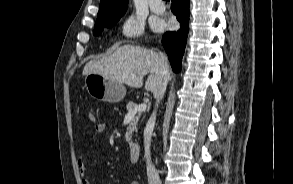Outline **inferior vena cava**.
I'll return each mask as SVG.
<instances>
[{"mask_svg": "<svg viewBox=\"0 0 293 184\" xmlns=\"http://www.w3.org/2000/svg\"><path fill=\"white\" fill-rule=\"evenodd\" d=\"M159 68L162 77L161 87L158 92L154 93V98L156 99V107L158 106L160 100L163 98L166 91V87L170 78L168 59L163 53H159ZM156 110L153 111L150 119L148 120L146 131L144 133V147L145 156L147 164V176L149 184H161L159 174L151 162L150 156V146H151V136L155 125Z\"/></svg>", "mask_w": 293, "mask_h": 184, "instance_id": "602c4592", "label": "inferior vena cava"}]
</instances>
